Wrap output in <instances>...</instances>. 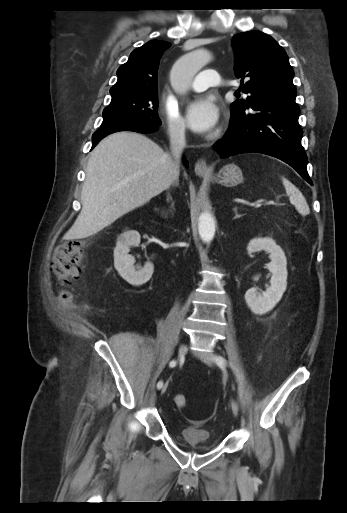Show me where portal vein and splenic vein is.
Returning <instances> with one entry per match:
<instances>
[{
	"label": "portal vein and splenic vein",
	"mask_w": 347,
	"mask_h": 513,
	"mask_svg": "<svg viewBox=\"0 0 347 513\" xmlns=\"http://www.w3.org/2000/svg\"><path fill=\"white\" fill-rule=\"evenodd\" d=\"M265 204H266V205H274V204H275V202H274V201H268V202H266ZM260 207H261V204H260V203H258V204H256V205H255V208H260Z\"/></svg>",
	"instance_id": "portal-vein-and-splenic-vein-1"
}]
</instances>
